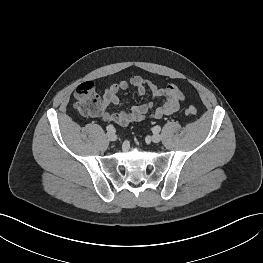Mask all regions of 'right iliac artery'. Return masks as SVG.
<instances>
[{
  "mask_svg": "<svg viewBox=\"0 0 263 263\" xmlns=\"http://www.w3.org/2000/svg\"><path fill=\"white\" fill-rule=\"evenodd\" d=\"M106 130H107L108 132H114V131H115V128H114V126H112V125H108V126L106 127Z\"/></svg>",
  "mask_w": 263,
  "mask_h": 263,
  "instance_id": "1",
  "label": "right iliac artery"
}]
</instances>
